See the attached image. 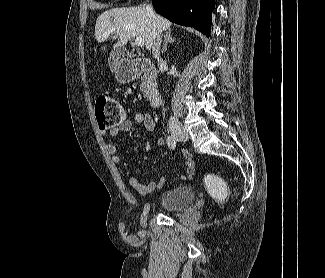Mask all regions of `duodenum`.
<instances>
[{
	"label": "duodenum",
	"instance_id": "410a0bca",
	"mask_svg": "<svg viewBox=\"0 0 325 278\" xmlns=\"http://www.w3.org/2000/svg\"><path fill=\"white\" fill-rule=\"evenodd\" d=\"M134 75L144 81L147 103L151 108H157L162 102V96L156 85V71L153 64L145 58L133 61Z\"/></svg>",
	"mask_w": 325,
	"mask_h": 278
}]
</instances>
